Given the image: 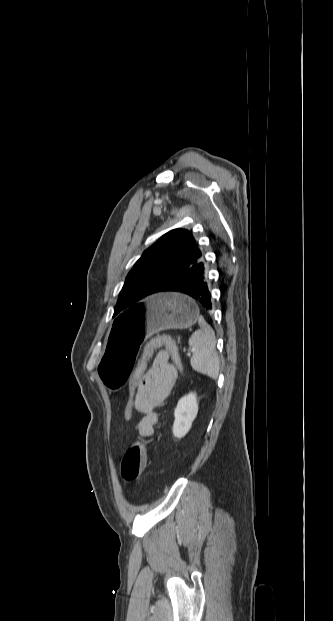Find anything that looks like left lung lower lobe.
<instances>
[{"instance_id": "left-lung-lower-lobe-1", "label": "left lung lower lobe", "mask_w": 333, "mask_h": 621, "mask_svg": "<svg viewBox=\"0 0 333 621\" xmlns=\"http://www.w3.org/2000/svg\"><path fill=\"white\" fill-rule=\"evenodd\" d=\"M158 292H181L212 309L211 293L204 268V259L165 283Z\"/></svg>"}]
</instances>
